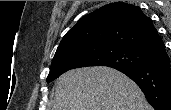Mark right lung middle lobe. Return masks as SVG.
<instances>
[{
  "label": "right lung middle lobe",
  "instance_id": "1",
  "mask_svg": "<svg viewBox=\"0 0 171 110\" xmlns=\"http://www.w3.org/2000/svg\"><path fill=\"white\" fill-rule=\"evenodd\" d=\"M150 60V55L122 46H84L54 56L47 82L64 72L85 66H108L115 69L138 67Z\"/></svg>",
  "mask_w": 171,
  "mask_h": 110
}]
</instances>
